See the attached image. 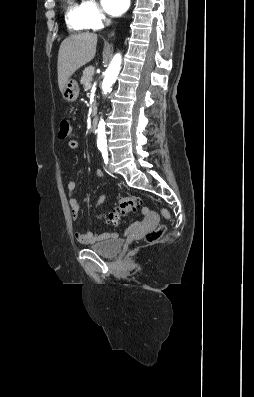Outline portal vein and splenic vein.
<instances>
[{"label": "portal vein and splenic vein", "mask_w": 254, "mask_h": 397, "mask_svg": "<svg viewBox=\"0 0 254 397\" xmlns=\"http://www.w3.org/2000/svg\"><path fill=\"white\" fill-rule=\"evenodd\" d=\"M87 85L90 87V83H87Z\"/></svg>", "instance_id": "obj_1"}]
</instances>
